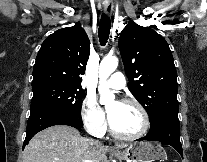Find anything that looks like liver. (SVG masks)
<instances>
[{
    "mask_svg": "<svg viewBox=\"0 0 207 162\" xmlns=\"http://www.w3.org/2000/svg\"><path fill=\"white\" fill-rule=\"evenodd\" d=\"M126 148V144H117ZM110 150L98 141L82 137L67 125H54L37 133L26 145L23 162H101Z\"/></svg>",
    "mask_w": 207,
    "mask_h": 162,
    "instance_id": "1",
    "label": "liver"
}]
</instances>
